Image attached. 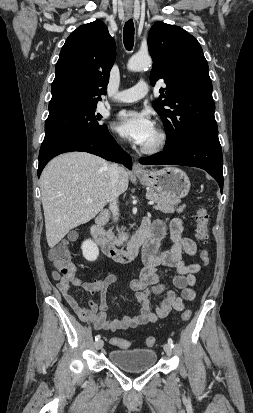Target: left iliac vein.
<instances>
[{"instance_id":"left-iliac-vein-1","label":"left iliac vein","mask_w":253,"mask_h":413,"mask_svg":"<svg viewBox=\"0 0 253 413\" xmlns=\"http://www.w3.org/2000/svg\"><path fill=\"white\" fill-rule=\"evenodd\" d=\"M163 348H164V351H165V353L167 354V356L170 357V356L172 355V348H171L170 344H169V343H165L164 346H163Z\"/></svg>"}]
</instances>
